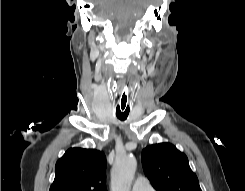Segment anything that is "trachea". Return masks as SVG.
Masks as SVG:
<instances>
[{
  "instance_id": "trachea-1",
  "label": "trachea",
  "mask_w": 245,
  "mask_h": 191,
  "mask_svg": "<svg viewBox=\"0 0 245 191\" xmlns=\"http://www.w3.org/2000/svg\"><path fill=\"white\" fill-rule=\"evenodd\" d=\"M130 103H129V88L128 85H124L121 94L119 96V101L116 107V116L121 121H125L130 113Z\"/></svg>"
}]
</instances>
